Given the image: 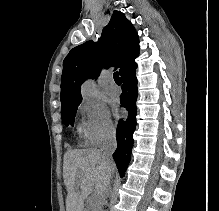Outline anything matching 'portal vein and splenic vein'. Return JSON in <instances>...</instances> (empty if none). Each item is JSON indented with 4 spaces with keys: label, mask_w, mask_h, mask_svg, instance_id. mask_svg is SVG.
<instances>
[{
    "label": "portal vein and splenic vein",
    "mask_w": 219,
    "mask_h": 211,
    "mask_svg": "<svg viewBox=\"0 0 219 211\" xmlns=\"http://www.w3.org/2000/svg\"><path fill=\"white\" fill-rule=\"evenodd\" d=\"M90 203H95V199H90Z\"/></svg>",
    "instance_id": "1"
}]
</instances>
